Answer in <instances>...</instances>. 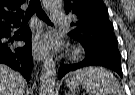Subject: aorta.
<instances>
[{"instance_id": "762f6f07", "label": "aorta", "mask_w": 135, "mask_h": 95, "mask_svg": "<svg viewBox=\"0 0 135 95\" xmlns=\"http://www.w3.org/2000/svg\"><path fill=\"white\" fill-rule=\"evenodd\" d=\"M43 2L47 10L57 9L62 5V0H43ZM55 81L56 64L53 56H48L44 61L40 75L39 95H54Z\"/></svg>"}]
</instances>
